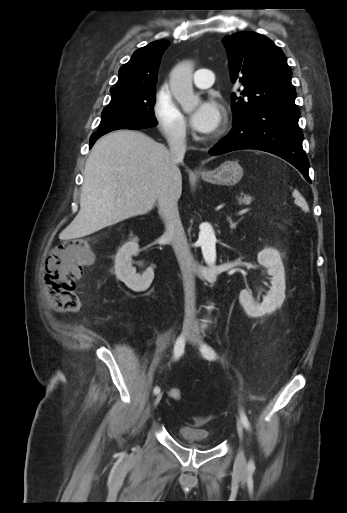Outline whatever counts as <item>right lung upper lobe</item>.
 I'll return each instance as SVG.
<instances>
[{
	"mask_svg": "<svg viewBox=\"0 0 347 513\" xmlns=\"http://www.w3.org/2000/svg\"><path fill=\"white\" fill-rule=\"evenodd\" d=\"M169 44L168 40H157L136 50L119 69L118 81L110 92L156 86L160 60Z\"/></svg>",
	"mask_w": 347,
	"mask_h": 513,
	"instance_id": "obj_1",
	"label": "right lung upper lobe"
}]
</instances>
